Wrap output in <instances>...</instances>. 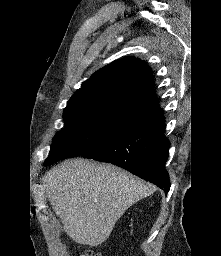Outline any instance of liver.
Returning <instances> with one entry per match:
<instances>
[{
  "mask_svg": "<svg viewBox=\"0 0 221 256\" xmlns=\"http://www.w3.org/2000/svg\"><path fill=\"white\" fill-rule=\"evenodd\" d=\"M50 204L75 242L98 246L136 201L156 189L111 164L66 160L45 177Z\"/></svg>",
  "mask_w": 221,
  "mask_h": 256,
  "instance_id": "liver-1",
  "label": "liver"
}]
</instances>
